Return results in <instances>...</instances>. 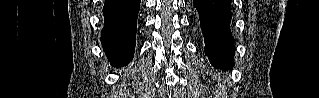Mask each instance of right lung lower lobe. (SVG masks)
<instances>
[{
    "mask_svg": "<svg viewBox=\"0 0 319 98\" xmlns=\"http://www.w3.org/2000/svg\"><path fill=\"white\" fill-rule=\"evenodd\" d=\"M139 8L140 0H105L101 43L113 67L126 66L133 57Z\"/></svg>",
    "mask_w": 319,
    "mask_h": 98,
    "instance_id": "obj_1",
    "label": "right lung lower lobe"
}]
</instances>
